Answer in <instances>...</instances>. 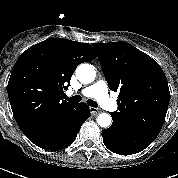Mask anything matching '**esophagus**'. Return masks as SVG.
<instances>
[{
    "label": "esophagus",
    "instance_id": "1",
    "mask_svg": "<svg viewBox=\"0 0 178 178\" xmlns=\"http://www.w3.org/2000/svg\"><path fill=\"white\" fill-rule=\"evenodd\" d=\"M101 109L99 108H94V107H90V113L93 115V116H97L98 114L101 113Z\"/></svg>",
    "mask_w": 178,
    "mask_h": 178
}]
</instances>
